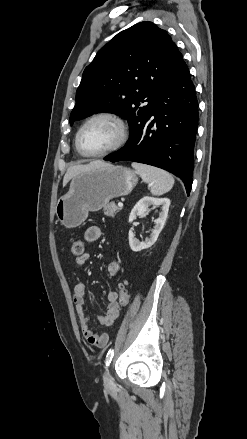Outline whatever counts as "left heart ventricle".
Returning a JSON list of instances; mask_svg holds the SVG:
<instances>
[{
    "label": "left heart ventricle",
    "instance_id": "b2bd125f",
    "mask_svg": "<svg viewBox=\"0 0 247 439\" xmlns=\"http://www.w3.org/2000/svg\"><path fill=\"white\" fill-rule=\"evenodd\" d=\"M119 130L109 119H97L91 122L81 135V146L87 153H97L111 147L117 141Z\"/></svg>",
    "mask_w": 247,
    "mask_h": 439
}]
</instances>
